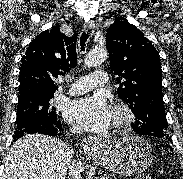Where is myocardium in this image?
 <instances>
[{
	"label": "myocardium",
	"instance_id": "1",
	"mask_svg": "<svg viewBox=\"0 0 183 179\" xmlns=\"http://www.w3.org/2000/svg\"><path fill=\"white\" fill-rule=\"evenodd\" d=\"M115 119L112 123V129L121 130L127 128L133 122V113L128 105L124 103H116L112 108Z\"/></svg>",
	"mask_w": 183,
	"mask_h": 179
}]
</instances>
